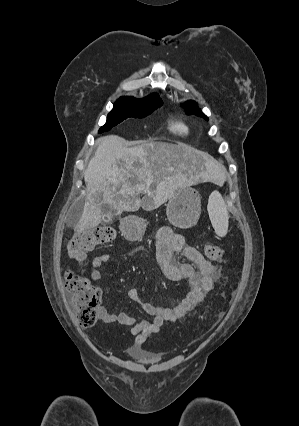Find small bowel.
I'll return each instance as SVG.
<instances>
[{"label":"small bowel","instance_id":"obj_1","mask_svg":"<svg viewBox=\"0 0 299 426\" xmlns=\"http://www.w3.org/2000/svg\"><path fill=\"white\" fill-rule=\"evenodd\" d=\"M178 254L189 262L178 261L176 259ZM110 259V254L104 253L92 260V280L96 281L101 277L100 268ZM156 259L168 280L187 283L188 292L185 298L170 307L156 306L143 301L138 290L131 288L127 292V297L138 303L146 314L152 316V320H138L126 312L115 313L105 307H99L97 311L98 317L104 323H119L129 327L128 333L134 337V343L128 349V353L145 362L156 359L155 354L142 348L147 337L159 332L165 321H175L195 309L203 301L206 293L214 288L219 278L218 269L197 248L187 245L181 234L174 233L166 226L161 227L157 233Z\"/></svg>","mask_w":299,"mask_h":426}]
</instances>
